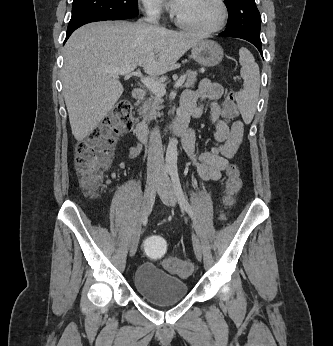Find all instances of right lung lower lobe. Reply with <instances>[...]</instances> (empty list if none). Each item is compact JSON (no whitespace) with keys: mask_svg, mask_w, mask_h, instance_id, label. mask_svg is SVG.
<instances>
[{"mask_svg":"<svg viewBox=\"0 0 333 346\" xmlns=\"http://www.w3.org/2000/svg\"><path fill=\"white\" fill-rule=\"evenodd\" d=\"M107 20H116V19H88L86 21H83L81 23H79L78 25H76L75 27L71 28V29H67V34H66V39L64 41V43L67 41V39L70 37V35L79 27H81L84 24L90 23V22H96V21H107Z\"/></svg>","mask_w":333,"mask_h":346,"instance_id":"obj_1","label":"right lung lower lobe"}]
</instances>
